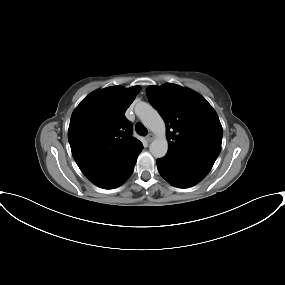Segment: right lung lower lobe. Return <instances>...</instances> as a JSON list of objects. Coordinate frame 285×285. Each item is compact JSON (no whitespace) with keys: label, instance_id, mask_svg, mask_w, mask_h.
Masks as SVG:
<instances>
[{"label":"right lung lower lobe","instance_id":"1","mask_svg":"<svg viewBox=\"0 0 285 285\" xmlns=\"http://www.w3.org/2000/svg\"><path fill=\"white\" fill-rule=\"evenodd\" d=\"M142 149L143 148L139 149L136 153L131 155L110 174L93 183L96 184L98 187L104 189L116 188L121 184H123L133 173L137 157L139 153L142 151Z\"/></svg>","mask_w":285,"mask_h":285}]
</instances>
